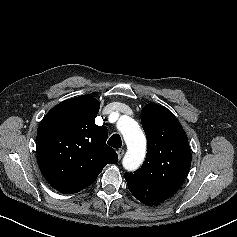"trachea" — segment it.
<instances>
[{
	"mask_svg": "<svg viewBox=\"0 0 237 237\" xmlns=\"http://www.w3.org/2000/svg\"><path fill=\"white\" fill-rule=\"evenodd\" d=\"M108 145H110L113 148H121L122 146V141H121V137L119 134H113L109 140H108Z\"/></svg>",
	"mask_w": 237,
	"mask_h": 237,
	"instance_id": "3493384b",
	"label": "trachea"
}]
</instances>
